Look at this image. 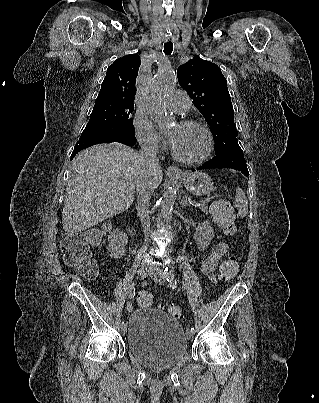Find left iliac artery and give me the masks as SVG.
<instances>
[{
    "instance_id": "1",
    "label": "left iliac artery",
    "mask_w": 319,
    "mask_h": 403,
    "mask_svg": "<svg viewBox=\"0 0 319 403\" xmlns=\"http://www.w3.org/2000/svg\"><path fill=\"white\" fill-rule=\"evenodd\" d=\"M164 276H165L166 280L168 281L170 287H171L172 289H175V288L177 287V286H176L177 281H176V278H175V276H174V274H173V272H172V270H171L170 268L166 267V268L164 269ZM190 331L195 332L194 327H192V328L190 329Z\"/></svg>"
}]
</instances>
